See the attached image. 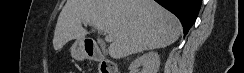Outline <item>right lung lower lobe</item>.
<instances>
[{
	"label": "right lung lower lobe",
	"mask_w": 244,
	"mask_h": 73,
	"mask_svg": "<svg viewBox=\"0 0 244 73\" xmlns=\"http://www.w3.org/2000/svg\"><path fill=\"white\" fill-rule=\"evenodd\" d=\"M167 10L175 14L182 23L184 35L194 24L202 0H155Z\"/></svg>",
	"instance_id": "1"
}]
</instances>
